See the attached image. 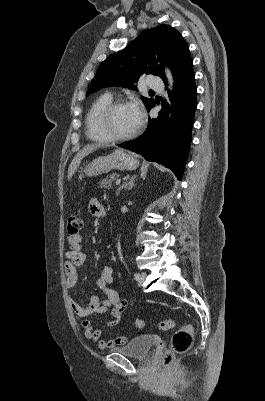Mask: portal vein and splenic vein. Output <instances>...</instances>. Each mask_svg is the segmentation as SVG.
Here are the masks:
<instances>
[{"mask_svg": "<svg viewBox=\"0 0 265 401\" xmlns=\"http://www.w3.org/2000/svg\"><path fill=\"white\" fill-rule=\"evenodd\" d=\"M121 182V178H118V180H116V184H120Z\"/></svg>", "mask_w": 265, "mask_h": 401, "instance_id": "obj_1", "label": "portal vein and splenic vein"}]
</instances>
